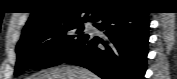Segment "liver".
<instances>
[{"mask_svg":"<svg viewBox=\"0 0 177 79\" xmlns=\"http://www.w3.org/2000/svg\"><path fill=\"white\" fill-rule=\"evenodd\" d=\"M28 79H99L91 71L78 66H60L42 70Z\"/></svg>","mask_w":177,"mask_h":79,"instance_id":"6515ba94","label":"liver"}]
</instances>
